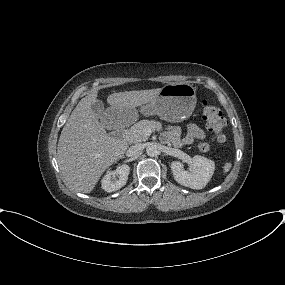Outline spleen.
Masks as SVG:
<instances>
[{"label": "spleen", "mask_w": 285, "mask_h": 285, "mask_svg": "<svg viewBox=\"0 0 285 285\" xmlns=\"http://www.w3.org/2000/svg\"><path fill=\"white\" fill-rule=\"evenodd\" d=\"M231 167H232L231 162H226L223 166V172L227 173L231 169Z\"/></svg>", "instance_id": "1"}]
</instances>
